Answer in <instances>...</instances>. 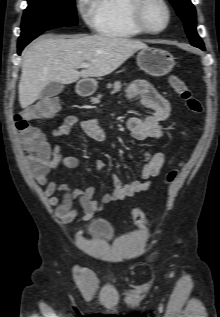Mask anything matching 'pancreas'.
<instances>
[{"instance_id": "pancreas-1", "label": "pancreas", "mask_w": 220, "mask_h": 317, "mask_svg": "<svg viewBox=\"0 0 220 317\" xmlns=\"http://www.w3.org/2000/svg\"><path fill=\"white\" fill-rule=\"evenodd\" d=\"M108 88H113V90L111 91V94H115L117 93L118 91H120L121 87H122V84L121 82L117 81L115 82L113 85L112 84H108L107 85ZM102 98V95H98L97 97L95 98H92V101L93 102H99V100Z\"/></svg>"}]
</instances>
